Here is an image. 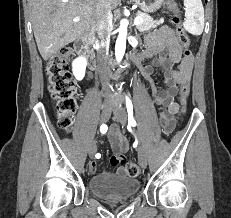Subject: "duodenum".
<instances>
[{"mask_svg": "<svg viewBox=\"0 0 231 218\" xmlns=\"http://www.w3.org/2000/svg\"><path fill=\"white\" fill-rule=\"evenodd\" d=\"M92 38V31H89L82 37L78 38L74 43V48L76 52L85 58L88 67L91 70L96 69V59L90 49V41ZM137 58V56H136Z\"/></svg>", "mask_w": 231, "mask_h": 218, "instance_id": "obj_1", "label": "duodenum"}]
</instances>
